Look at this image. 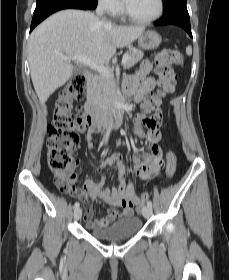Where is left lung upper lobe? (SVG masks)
Here are the masks:
<instances>
[{
    "mask_svg": "<svg viewBox=\"0 0 229 280\" xmlns=\"http://www.w3.org/2000/svg\"><path fill=\"white\" fill-rule=\"evenodd\" d=\"M165 5H164V12L170 10L175 6L177 2H184L186 3L187 0H163Z\"/></svg>",
    "mask_w": 229,
    "mask_h": 280,
    "instance_id": "5c2ea615",
    "label": "left lung upper lobe"
}]
</instances>
